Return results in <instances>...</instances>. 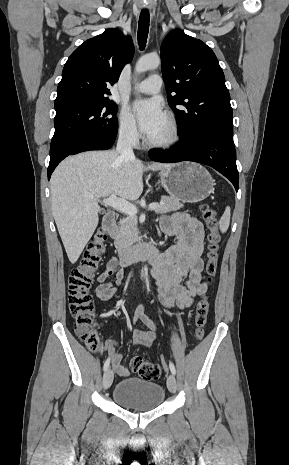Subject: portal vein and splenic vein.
<instances>
[{"label":"portal vein and splenic vein","instance_id":"1","mask_svg":"<svg viewBox=\"0 0 289 465\" xmlns=\"http://www.w3.org/2000/svg\"><path fill=\"white\" fill-rule=\"evenodd\" d=\"M101 203L121 212H124L130 217H135L137 214V209L135 205L131 204L127 200L118 198L115 194H112L108 198L103 199ZM158 206L159 204L157 203H151L149 205V210H156Z\"/></svg>","mask_w":289,"mask_h":465}]
</instances>
